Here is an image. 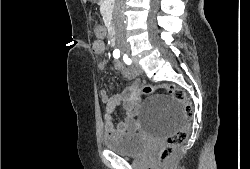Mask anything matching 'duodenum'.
<instances>
[{
  "mask_svg": "<svg viewBox=\"0 0 250 169\" xmlns=\"http://www.w3.org/2000/svg\"><path fill=\"white\" fill-rule=\"evenodd\" d=\"M109 38H110V41H111L113 44L116 43V41H117V40H116V34H115V32H114L113 30H111Z\"/></svg>",
  "mask_w": 250,
  "mask_h": 169,
  "instance_id": "duodenum-1",
  "label": "duodenum"
}]
</instances>
